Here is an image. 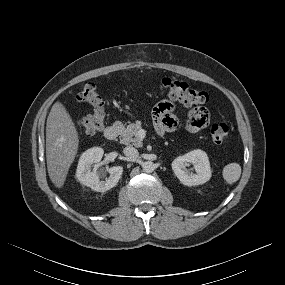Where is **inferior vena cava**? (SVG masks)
Returning a JSON list of instances; mask_svg holds the SVG:
<instances>
[{
	"instance_id": "602c4592",
	"label": "inferior vena cava",
	"mask_w": 285,
	"mask_h": 285,
	"mask_svg": "<svg viewBox=\"0 0 285 285\" xmlns=\"http://www.w3.org/2000/svg\"><path fill=\"white\" fill-rule=\"evenodd\" d=\"M124 154L130 159H135L139 155L138 150L131 146H127L124 148Z\"/></svg>"
}]
</instances>
